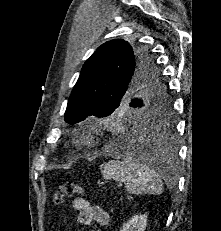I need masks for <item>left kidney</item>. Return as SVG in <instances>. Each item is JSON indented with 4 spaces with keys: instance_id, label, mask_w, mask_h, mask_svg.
I'll use <instances>...</instances> for the list:
<instances>
[{
    "instance_id": "left-kidney-1",
    "label": "left kidney",
    "mask_w": 221,
    "mask_h": 231,
    "mask_svg": "<svg viewBox=\"0 0 221 231\" xmlns=\"http://www.w3.org/2000/svg\"><path fill=\"white\" fill-rule=\"evenodd\" d=\"M147 215H135L128 222L124 223L120 231H145L147 226Z\"/></svg>"
}]
</instances>
